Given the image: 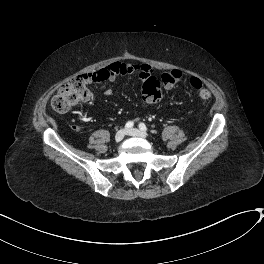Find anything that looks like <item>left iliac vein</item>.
<instances>
[{"instance_id":"4c4485c4","label":"left iliac vein","mask_w":264,"mask_h":264,"mask_svg":"<svg viewBox=\"0 0 264 264\" xmlns=\"http://www.w3.org/2000/svg\"><path fill=\"white\" fill-rule=\"evenodd\" d=\"M127 134L133 137L147 138V134L139 129L132 128L127 131Z\"/></svg>"}]
</instances>
